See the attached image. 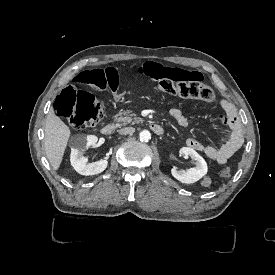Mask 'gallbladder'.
<instances>
[{"label": "gallbladder", "instance_id": "gallbladder-1", "mask_svg": "<svg viewBox=\"0 0 275 275\" xmlns=\"http://www.w3.org/2000/svg\"><path fill=\"white\" fill-rule=\"evenodd\" d=\"M65 115H66L67 117H69V118H70V117H73V112H72V113H69V114L66 113Z\"/></svg>", "mask_w": 275, "mask_h": 275}]
</instances>
